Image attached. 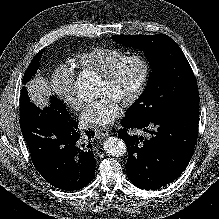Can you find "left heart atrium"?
<instances>
[{"label":"left heart atrium","instance_id":"left-heart-atrium-1","mask_svg":"<svg viewBox=\"0 0 219 219\" xmlns=\"http://www.w3.org/2000/svg\"><path fill=\"white\" fill-rule=\"evenodd\" d=\"M122 105L110 96H102L89 104L81 113L80 120L88 126H106L118 118Z\"/></svg>","mask_w":219,"mask_h":219}]
</instances>
